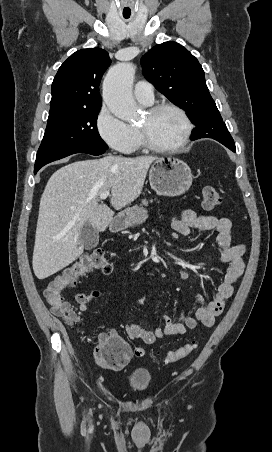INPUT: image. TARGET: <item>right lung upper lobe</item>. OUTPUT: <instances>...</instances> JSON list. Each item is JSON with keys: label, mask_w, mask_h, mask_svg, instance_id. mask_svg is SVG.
Returning a JSON list of instances; mask_svg holds the SVG:
<instances>
[{"label": "right lung upper lobe", "mask_w": 272, "mask_h": 452, "mask_svg": "<svg viewBox=\"0 0 272 452\" xmlns=\"http://www.w3.org/2000/svg\"><path fill=\"white\" fill-rule=\"evenodd\" d=\"M111 60L100 48L78 50L59 68L52 83L49 114L100 108L101 78Z\"/></svg>", "instance_id": "obj_1"}]
</instances>
